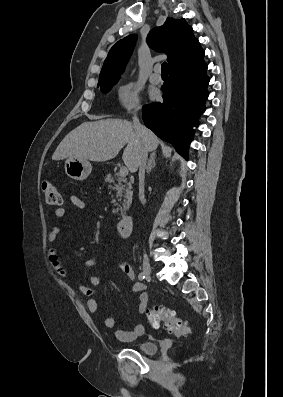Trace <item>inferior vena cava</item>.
<instances>
[{
	"instance_id": "obj_1",
	"label": "inferior vena cava",
	"mask_w": 283,
	"mask_h": 397,
	"mask_svg": "<svg viewBox=\"0 0 283 397\" xmlns=\"http://www.w3.org/2000/svg\"><path fill=\"white\" fill-rule=\"evenodd\" d=\"M139 108L135 109L134 115H133V126L139 133L140 137L143 140H146L147 137V131L146 129L141 125L136 112L138 111ZM147 157H148V149L144 147L141 151V154L139 156L138 160V167H139V199L142 204L145 203L144 200V178H145V169H146V162H147Z\"/></svg>"
}]
</instances>
